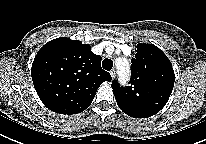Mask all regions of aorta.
Masks as SVG:
<instances>
[{"instance_id": "1", "label": "aorta", "mask_w": 206, "mask_h": 144, "mask_svg": "<svg viewBox=\"0 0 206 144\" xmlns=\"http://www.w3.org/2000/svg\"><path fill=\"white\" fill-rule=\"evenodd\" d=\"M116 68L118 70L119 79L125 82L130 76L129 63L124 58L116 59Z\"/></svg>"}]
</instances>
